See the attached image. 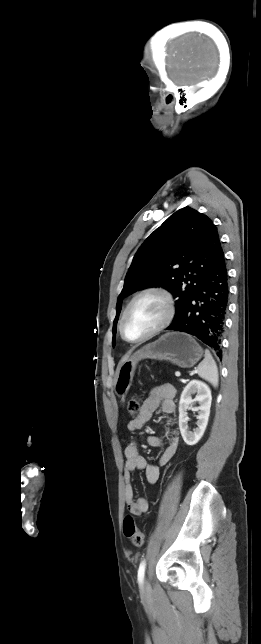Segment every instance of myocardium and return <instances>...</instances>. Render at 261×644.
<instances>
[{
  "label": "myocardium",
  "mask_w": 261,
  "mask_h": 644,
  "mask_svg": "<svg viewBox=\"0 0 261 644\" xmlns=\"http://www.w3.org/2000/svg\"><path fill=\"white\" fill-rule=\"evenodd\" d=\"M149 294L158 295L163 299V301L165 302V306H166L165 316H164L163 320L161 321V323L157 327H155L153 330H151L149 333H147L145 336H143V337H141L139 339H134V340L129 339L126 336V333H125V323H126L128 313H129L131 307L133 306V304L139 298H141V297H143L145 295H149ZM175 314H176V303H175V300H174V297H173L172 293L168 289H166L164 287H161V286H149V287H146V288L140 290L139 292H137L131 298V300L129 301L127 306L125 307V309L123 311V314L121 316L120 324H119L120 334H121L122 338L125 341H127L128 343L138 344V343L145 342V341L151 339L152 337L156 336L157 334H159L163 330H165L172 323V321L174 320Z\"/></svg>",
  "instance_id": "obj_1"
}]
</instances>
